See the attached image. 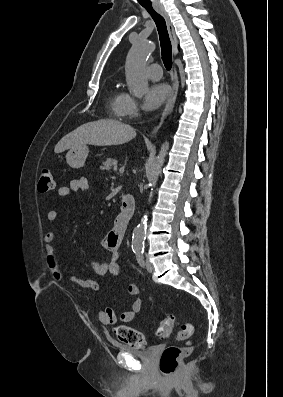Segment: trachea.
<instances>
[{"mask_svg":"<svg viewBox=\"0 0 283 397\" xmlns=\"http://www.w3.org/2000/svg\"><path fill=\"white\" fill-rule=\"evenodd\" d=\"M153 18L159 33V40L161 45V55L164 66L167 70L172 67V46L169 39L166 22L163 16L157 13L152 5H142Z\"/></svg>","mask_w":283,"mask_h":397,"instance_id":"obj_1","label":"trachea"}]
</instances>
